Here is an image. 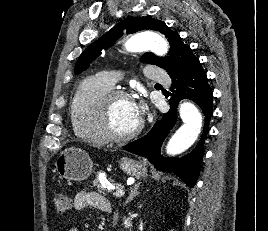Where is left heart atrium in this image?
<instances>
[{
	"label": "left heart atrium",
	"mask_w": 268,
	"mask_h": 231,
	"mask_svg": "<svg viewBox=\"0 0 268 231\" xmlns=\"http://www.w3.org/2000/svg\"><path fill=\"white\" fill-rule=\"evenodd\" d=\"M135 107H136V110H137L139 116L141 117L142 114L144 113L143 106L142 105L135 104Z\"/></svg>",
	"instance_id": "obj_1"
}]
</instances>
